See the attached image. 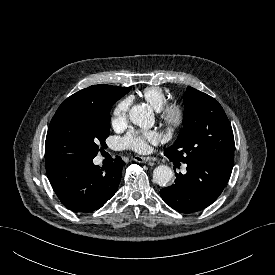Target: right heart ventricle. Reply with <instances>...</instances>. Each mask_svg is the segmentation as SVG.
<instances>
[{"mask_svg": "<svg viewBox=\"0 0 275 275\" xmlns=\"http://www.w3.org/2000/svg\"><path fill=\"white\" fill-rule=\"evenodd\" d=\"M141 97L156 110H159L167 102L165 91L157 86L146 87L143 89Z\"/></svg>", "mask_w": 275, "mask_h": 275, "instance_id": "obj_1", "label": "right heart ventricle"}]
</instances>
